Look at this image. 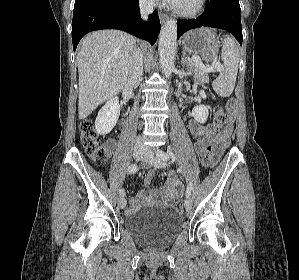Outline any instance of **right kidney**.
Masks as SVG:
<instances>
[{
  "mask_svg": "<svg viewBox=\"0 0 299 280\" xmlns=\"http://www.w3.org/2000/svg\"><path fill=\"white\" fill-rule=\"evenodd\" d=\"M120 114L118 97L108 100L98 112L95 120V129L98 134H108L116 125Z\"/></svg>",
  "mask_w": 299,
  "mask_h": 280,
  "instance_id": "obj_1",
  "label": "right kidney"
}]
</instances>
